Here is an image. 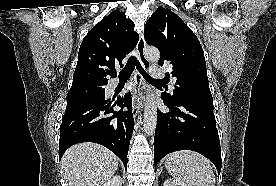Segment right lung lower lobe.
I'll return each instance as SVG.
<instances>
[{"label": "right lung lower lobe", "instance_id": "right-lung-lower-lobe-1", "mask_svg": "<svg viewBox=\"0 0 276 186\" xmlns=\"http://www.w3.org/2000/svg\"><path fill=\"white\" fill-rule=\"evenodd\" d=\"M115 105L126 106L128 111L116 112L113 110ZM133 129L130 93L116 100L66 108L60 126L59 159L74 144L94 142L110 149L127 168V154Z\"/></svg>", "mask_w": 276, "mask_h": 186}]
</instances>
